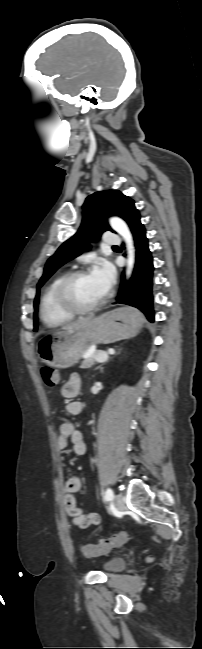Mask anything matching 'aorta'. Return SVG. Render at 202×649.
<instances>
[{
  "label": "aorta",
  "mask_w": 202,
  "mask_h": 649,
  "mask_svg": "<svg viewBox=\"0 0 202 649\" xmlns=\"http://www.w3.org/2000/svg\"><path fill=\"white\" fill-rule=\"evenodd\" d=\"M109 222L111 227L123 237L126 243V247L128 251L126 275L127 277H129L134 265V257H135L132 235L130 233L127 224L122 219L118 217H113L109 220Z\"/></svg>",
  "instance_id": "obj_1"
}]
</instances>
